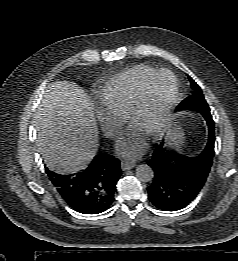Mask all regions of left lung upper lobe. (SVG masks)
<instances>
[{"label": "left lung upper lobe", "mask_w": 238, "mask_h": 261, "mask_svg": "<svg viewBox=\"0 0 238 261\" xmlns=\"http://www.w3.org/2000/svg\"><path fill=\"white\" fill-rule=\"evenodd\" d=\"M189 80L191 82V86L193 89V92L190 96L185 98L177 107V110H196V111H201L202 108L210 111L208 104L206 103L204 99V95L202 93V90L198 86V84L191 78L189 77Z\"/></svg>", "instance_id": "5c2ea615"}]
</instances>
